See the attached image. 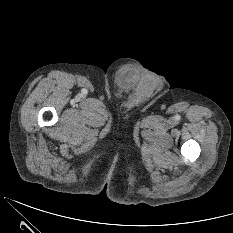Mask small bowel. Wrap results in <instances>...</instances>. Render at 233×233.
I'll return each mask as SVG.
<instances>
[{
    "label": "small bowel",
    "mask_w": 233,
    "mask_h": 233,
    "mask_svg": "<svg viewBox=\"0 0 233 233\" xmlns=\"http://www.w3.org/2000/svg\"><path fill=\"white\" fill-rule=\"evenodd\" d=\"M134 81V75L130 71H122L120 75V82L123 86H129Z\"/></svg>",
    "instance_id": "1"
}]
</instances>
